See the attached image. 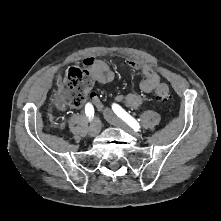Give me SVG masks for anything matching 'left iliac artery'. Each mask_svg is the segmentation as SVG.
I'll return each mask as SVG.
<instances>
[{
  "instance_id": "1",
  "label": "left iliac artery",
  "mask_w": 221,
  "mask_h": 221,
  "mask_svg": "<svg viewBox=\"0 0 221 221\" xmlns=\"http://www.w3.org/2000/svg\"><path fill=\"white\" fill-rule=\"evenodd\" d=\"M112 109L114 113L120 117L123 121H125L134 131L140 130V124L131 116L129 115L122 107L118 104H113Z\"/></svg>"
}]
</instances>
